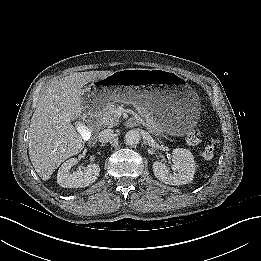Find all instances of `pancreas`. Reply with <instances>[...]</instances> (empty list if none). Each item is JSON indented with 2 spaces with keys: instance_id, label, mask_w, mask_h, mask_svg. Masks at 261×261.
Listing matches in <instances>:
<instances>
[{
  "instance_id": "pancreas-1",
  "label": "pancreas",
  "mask_w": 261,
  "mask_h": 261,
  "mask_svg": "<svg viewBox=\"0 0 261 261\" xmlns=\"http://www.w3.org/2000/svg\"><path fill=\"white\" fill-rule=\"evenodd\" d=\"M133 105L140 110L141 107L133 103ZM118 104H115V102H111L102 112L100 117V124L104 127L111 128L113 126L118 125L119 123V117L116 113ZM146 128L153 134L159 135L160 134V128L157 126V124L152 121L151 119H148L145 124Z\"/></svg>"
}]
</instances>
